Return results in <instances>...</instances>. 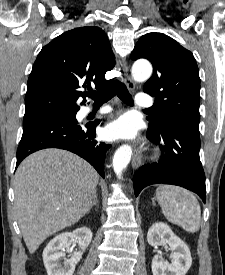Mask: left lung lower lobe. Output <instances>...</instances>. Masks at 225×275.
Listing matches in <instances>:
<instances>
[{
	"mask_svg": "<svg viewBox=\"0 0 225 275\" xmlns=\"http://www.w3.org/2000/svg\"><path fill=\"white\" fill-rule=\"evenodd\" d=\"M147 138L155 144H163V155L158 163L145 164L138 170L133 179L135 196L148 185L164 183L191 190L205 203L199 131L168 124L160 130L148 128Z\"/></svg>",
	"mask_w": 225,
	"mask_h": 275,
	"instance_id": "0a47b994",
	"label": "left lung lower lobe"
}]
</instances>
